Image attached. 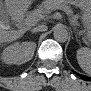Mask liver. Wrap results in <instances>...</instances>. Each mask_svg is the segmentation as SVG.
<instances>
[{
    "mask_svg": "<svg viewBox=\"0 0 91 91\" xmlns=\"http://www.w3.org/2000/svg\"><path fill=\"white\" fill-rule=\"evenodd\" d=\"M36 24V20H30V25L26 28H21L20 30H7L8 26L5 27V30L1 32V41L11 42L19 39L23 34L28 30L31 25ZM32 58V57H31Z\"/></svg>",
    "mask_w": 91,
    "mask_h": 91,
    "instance_id": "1",
    "label": "liver"
}]
</instances>
